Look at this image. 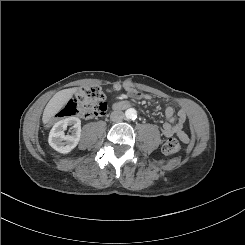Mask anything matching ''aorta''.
<instances>
[{"instance_id": "obj_1", "label": "aorta", "mask_w": 245, "mask_h": 245, "mask_svg": "<svg viewBox=\"0 0 245 245\" xmlns=\"http://www.w3.org/2000/svg\"><path fill=\"white\" fill-rule=\"evenodd\" d=\"M125 116L128 119H136L137 117V111L134 108H129L125 111Z\"/></svg>"}]
</instances>
